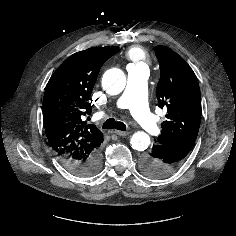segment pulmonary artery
Listing matches in <instances>:
<instances>
[{
  "mask_svg": "<svg viewBox=\"0 0 236 236\" xmlns=\"http://www.w3.org/2000/svg\"><path fill=\"white\" fill-rule=\"evenodd\" d=\"M128 83L116 106L130 110L132 116L152 135L158 133L154 115L150 112L146 100L148 67L144 64L127 67Z\"/></svg>",
  "mask_w": 236,
  "mask_h": 236,
  "instance_id": "obj_1",
  "label": "pulmonary artery"
}]
</instances>
